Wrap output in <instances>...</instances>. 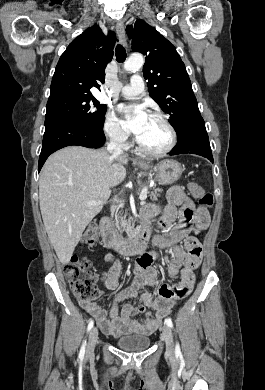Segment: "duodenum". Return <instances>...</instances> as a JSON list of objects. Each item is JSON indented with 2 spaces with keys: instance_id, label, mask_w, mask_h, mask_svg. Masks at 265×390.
Wrapping results in <instances>:
<instances>
[{
  "instance_id": "410a0bca",
  "label": "duodenum",
  "mask_w": 265,
  "mask_h": 390,
  "mask_svg": "<svg viewBox=\"0 0 265 390\" xmlns=\"http://www.w3.org/2000/svg\"><path fill=\"white\" fill-rule=\"evenodd\" d=\"M100 231L103 245L115 249L121 255H132L141 252L150 237L149 222L144 216H141L139 226L132 231L128 241L119 238L111 231L107 217L100 220Z\"/></svg>"
}]
</instances>
